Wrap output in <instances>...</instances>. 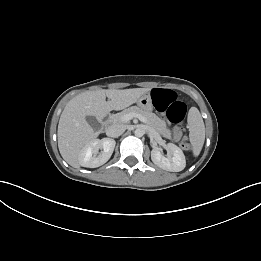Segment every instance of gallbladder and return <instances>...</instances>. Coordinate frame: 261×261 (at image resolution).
Returning a JSON list of instances; mask_svg holds the SVG:
<instances>
[{
    "mask_svg": "<svg viewBox=\"0 0 261 261\" xmlns=\"http://www.w3.org/2000/svg\"><path fill=\"white\" fill-rule=\"evenodd\" d=\"M87 122L90 124V126L94 129V130H99L101 127L100 122L93 116H88L86 118Z\"/></svg>",
    "mask_w": 261,
    "mask_h": 261,
    "instance_id": "bac80fb5",
    "label": "gallbladder"
}]
</instances>
